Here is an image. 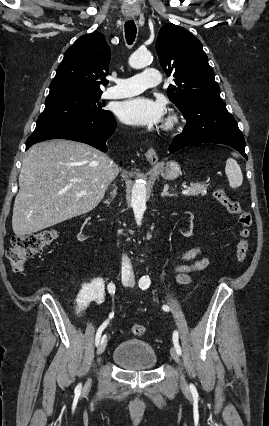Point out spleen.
Wrapping results in <instances>:
<instances>
[{
    "instance_id": "spleen-1",
    "label": "spleen",
    "mask_w": 269,
    "mask_h": 426,
    "mask_svg": "<svg viewBox=\"0 0 269 426\" xmlns=\"http://www.w3.org/2000/svg\"><path fill=\"white\" fill-rule=\"evenodd\" d=\"M225 174L227 176L229 186L233 189L240 187L243 183V174L237 161L229 158L226 161Z\"/></svg>"
}]
</instances>
